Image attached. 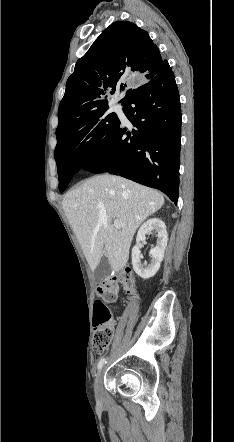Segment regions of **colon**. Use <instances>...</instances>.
Listing matches in <instances>:
<instances>
[{
    "mask_svg": "<svg viewBox=\"0 0 234 442\" xmlns=\"http://www.w3.org/2000/svg\"><path fill=\"white\" fill-rule=\"evenodd\" d=\"M119 283L127 293L132 294L136 291L135 279L129 267L121 270L118 277L105 279L96 289L97 299L94 306L93 326L95 330L94 349L97 353L107 350L114 335L112 317L107 304L116 300Z\"/></svg>",
    "mask_w": 234,
    "mask_h": 442,
    "instance_id": "colon-1",
    "label": "colon"
}]
</instances>
